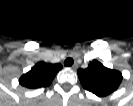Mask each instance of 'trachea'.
I'll return each mask as SVG.
<instances>
[{"label": "trachea", "instance_id": "3493384b", "mask_svg": "<svg viewBox=\"0 0 133 106\" xmlns=\"http://www.w3.org/2000/svg\"><path fill=\"white\" fill-rule=\"evenodd\" d=\"M74 63V60L72 58H67L65 61H64V65L65 66H72Z\"/></svg>", "mask_w": 133, "mask_h": 106}]
</instances>
